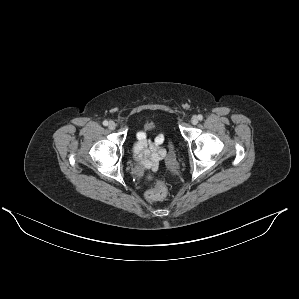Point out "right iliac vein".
<instances>
[{
    "label": "right iliac vein",
    "mask_w": 299,
    "mask_h": 299,
    "mask_svg": "<svg viewBox=\"0 0 299 299\" xmlns=\"http://www.w3.org/2000/svg\"><path fill=\"white\" fill-rule=\"evenodd\" d=\"M108 128L114 130L116 128V123L114 121H110L108 123Z\"/></svg>",
    "instance_id": "obj_1"
}]
</instances>
